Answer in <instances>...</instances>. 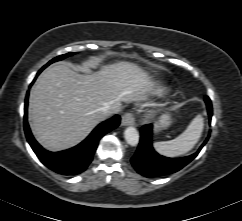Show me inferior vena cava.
<instances>
[{
    "label": "inferior vena cava",
    "instance_id": "1",
    "mask_svg": "<svg viewBox=\"0 0 242 221\" xmlns=\"http://www.w3.org/2000/svg\"><path fill=\"white\" fill-rule=\"evenodd\" d=\"M105 116H108L110 114H113V113H116L117 110L114 109L111 105L107 104V105H104L102 107H100L99 109Z\"/></svg>",
    "mask_w": 242,
    "mask_h": 221
}]
</instances>
